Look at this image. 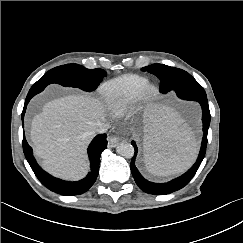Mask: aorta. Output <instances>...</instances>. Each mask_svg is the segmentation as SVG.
I'll return each mask as SVG.
<instances>
[{
	"label": "aorta",
	"instance_id": "obj_1",
	"mask_svg": "<svg viewBox=\"0 0 243 243\" xmlns=\"http://www.w3.org/2000/svg\"><path fill=\"white\" fill-rule=\"evenodd\" d=\"M116 151L124 158H132L134 155V147L128 142L120 143L117 146Z\"/></svg>",
	"mask_w": 243,
	"mask_h": 243
}]
</instances>
